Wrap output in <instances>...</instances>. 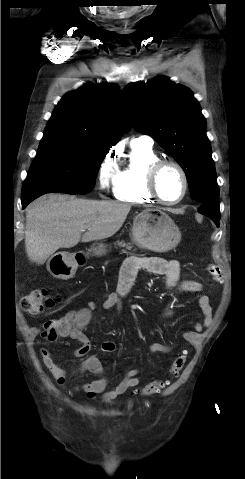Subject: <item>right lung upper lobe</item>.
<instances>
[{
  "instance_id": "obj_1",
  "label": "right lung upper lobe",
  "mask_w": 245,
  "mask_h": 479,
  "mask_svg": "<svg viewBox=\"0 0 245 479\" xmlns=\"http://www.w3.org/2000/svg\"><path fill=\"white\" fill-rule=\"evenodd\" d=\"M130 128L117 87L99 84L67 93L56 106L45 133L63 134L110 149Z\"/></svg>"
}]
</instances>
